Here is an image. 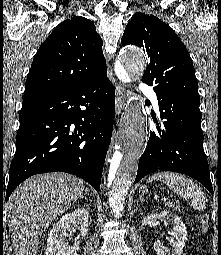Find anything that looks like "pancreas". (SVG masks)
<instances>
[{
    "instance_id": "obj_1",
    "label": "pancreas",
    "mask_w": 221,
    "mask_h": 255,
    "mask_svg": "<svg viewBox=\"0 0 221 255\" xmlns=\"http://www.w3.org/2000/svg\"><path fill=\"white\" fill-rule=\"evenodd\" d=\"M168 206L175 209V207L172 204H169Z\"/></svg>"
}]
</instances>
